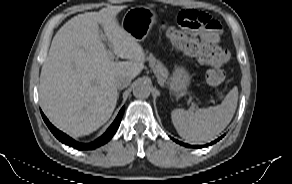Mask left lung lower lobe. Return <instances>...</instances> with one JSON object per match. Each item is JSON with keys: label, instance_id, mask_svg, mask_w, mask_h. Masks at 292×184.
<instances>
[{"label": "left lung lower lobe", "instance_id": "1", "mask_svg": "<svg viewBox=\"0 0 292 184\" xmlns=\"http://www.w3.org/2000/svg\"><path fill=\"white\" fill-rule=\"evenodd\" d=\"M222 137H223V136H222ZM222 137H220L219 139H221ZM219 139H216L215 141H213L212 143H210V144H208V145H211V144L217 142ZM174 141H176L177 143H179V144H181V145H183V146L189 147V148H201V147H205V146H206V145H203V146L188 145V144L182 143V142L177 141V140H174Z\"/></svg>", "mask_w": 292, "mask_h": 184}]
</instances>
